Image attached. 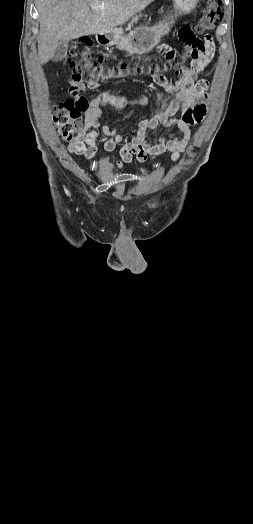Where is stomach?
<instances>
[{"mask_svg": "<svg viewBox=\"0 0 253 524\" xmlns=\"http://www.w3.org/2000/svg\"><path fill=\"white\" fill-rule=\"evenodd\" d=\"M199 0H173L174 12L167 14L162 21L153 27L139 26L128 35L118 32L100 34L101 44L104 46L116 45L119 50H125L130 54H144L151 51L159 42L162 35L167 34L171 25L178 16L186 15L194 10Z\"/></svg>", "mask_w": 253, "mask_h": 524, "instance_id": "obj_1", "label": "stomach"}]
</instances>
